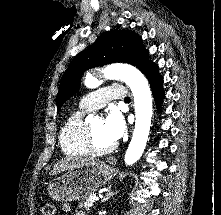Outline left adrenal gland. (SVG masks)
I'll return each mask as SVG.
<instances>
[{
    "instance_id": "left-adrenal-gland-1",
    "label": "left adrenal gland",
    "mask_w": 221,
    "mask_h": 215,
    "mask_svg": "<svg viewBox=\"0 0 221 215\" xmlns=\"http://www.w3.org/2000/svg\"><path fill=\"white\" fill-rule=\"evenodd\" d=\"M117 193H118V191H116V192H113V191H112L111 185H110V186L108 187V191H107L106 197L103 198V199L101 200V202L107 201L109 198L113 197V196H114L115 194H117Z\"/></svg>"
}]
</instances>
